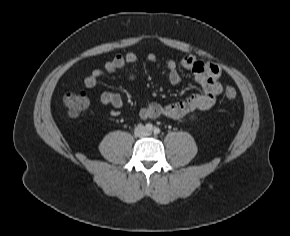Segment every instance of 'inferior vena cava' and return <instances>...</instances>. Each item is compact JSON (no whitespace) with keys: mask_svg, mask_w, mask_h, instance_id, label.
Instances as JSON below:
<instances>
[{"mask_svg":"<svg viewBox=\"0 0 290 236\" xmlns=\"http://www.w3.org/2000/svg\"><path fill=\"white\" fill-rule=\"evenodd\" d=\"M136 134H137L138 136H144V135H146L147 133L145 132L143 126H139L138 128H136Z\"/></svg>","mask_w":290,"mask_h":236,"instance_id":"inferior-vena-cava-1","label":"inferior vena cava"}]
</instances>
